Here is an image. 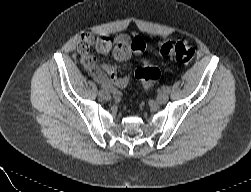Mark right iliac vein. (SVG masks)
<instances>
[{
	"label": "right iliac vein",
	"mask_w": 251,
	"mask_h": 192,
	"mask_svg": "<svg viewBox=\"0 0 251 192\" xmlns=\"http://www.w3.org/2000/svg\"><path fill=\"white\" fill-rule=\"evenodd\" d=\"M104 100H110L111 99V95L108 92H104V94L102 95Z\"/></svg>",
	"instance_id": "right-iliac-vein-1"
}]
</instances>
